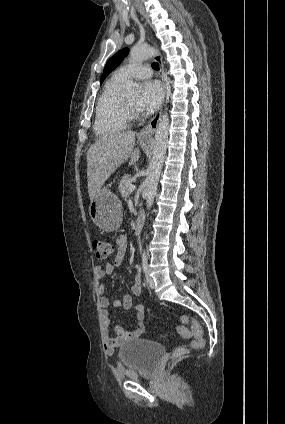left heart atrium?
<instances>
[{
  "label": "left heart atrium",
  "mask_w": 285,
  "mask_h": 424,
  "mask_svg": "<svg viewBox=\"0 0 285 424\" xmlns=\"http://www.w3.org/2000/svg\"><path fill=\"white\" fill-rule=\"evenodd\" d=\"M162 98L163 91L160 84L152 80L145 81L136 107L141 112H153L161 104Z\"/></svg>",
  "instance_id": "1"
}]
</instances>
